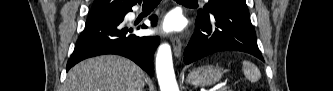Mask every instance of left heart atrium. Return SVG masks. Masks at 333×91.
<instances>
[{"mask_svg":"<svg viewBox=\"0 0 333 91\" xmlns=\"http://www.w3.org/2000/svg\"><path fill=\"white\" fill-rule=\"evenodd\" d=\"M182 28V19L177 15L170 14L164 19L161 31L163 33H174L180 31Z\"/></svg>","mask_w":333,"mask_h":91,"instance_id":"39dd6f15","label":"left heart atrium"}]
</instances>
